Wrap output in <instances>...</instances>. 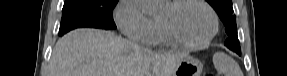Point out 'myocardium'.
Returning a JSON list of instances; mask_svg holds the SVG:
<instances>
[{
	"label": "myocardium",
	"mask_w": 287,
	"mask_h": 76,
	"mask_svg": "<svg viewBox=\"0 0 287 76\" xmlns=\"http://www.w3.org/2000/svg\"><path fill=\"white\" fill-rule=\"evenodd\" d=\"M187 3H197L201 6H203L209 12L211 19H212V29H211L210 33L208 34V36L205 37L203 40L197 41V42L187 41V40L183 39L178 34V32L174 28L169 17L161 16L164 30H165L170 42L175 44V45L185 47V48H191V49H197V48L205 47L216 37V35L219 32V17L217 15L216 11L213 9V7L208 2H206L204 0H175V1H172L169 4V6L172 9H177L178 7H180L184 4H187Z\"/></svg>",
	"instance_id": "1"
}]
</instances>
